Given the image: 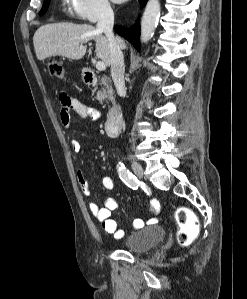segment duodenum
<instances>
[{"label":"duodenum","instance_id":"1","mask_svg":"<svg viewBox=\"0 0 247 299\" xmlns=\"http://www.w3.org/2000/svg\"><path fill=\"white\" fill-rule=\"evenodd\" d=\"M84 78L87 83H92L94 80V73L91 69L85 68L83 70ZM122 121V110L118 104H114L110 109L106 122L105 130L109 136H114L118 133Z\"/></svg>","mask_w":247,"mask_h":299}]
</instances>
